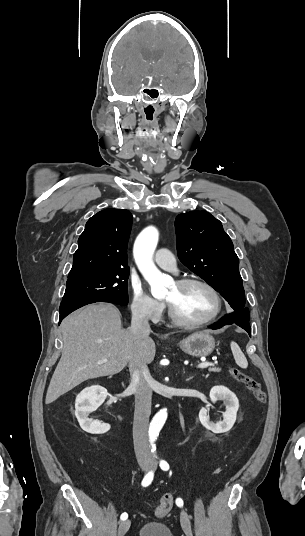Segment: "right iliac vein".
Listing matches in <instances>:
<instances>
[{
	"label": "right iliac vein",
	"instance_id": "obj_1",
	"mask_svg": "<svg viewBox=\"0 0 305 536\" xmlns=\"http://www.w3.org/2000/svg\"><path fill=\"white\" fill-rule=\"evenodd\" d=\"M130 527V520L121 521L119 525L118 534L124 536Z\"/></svg>",
	"mask_w": 305,
	"mask_h": 536
}]
</instances>
